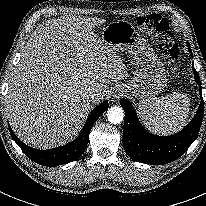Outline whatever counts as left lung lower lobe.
<instances>
[{
  "label": "left lung lower lobe",
  "mask_w": 206,
  "mask_h": 206,
  "mask_svg": "<svg viewBox=\"0 0 206 206\" xmlns=\"http://www.w3.org/2000/svg\"><path fill=\"white\" fill-rule=\"evenodd\" d=\"M188 49L191 53L190 46ZM195 81L202 91L199 75L192 66ZM125 111L123 146L134 161L163 165L178 159L197 138L204 112V103L201 98L199 109L192 121L180 132L172 136H157L147 132L140 124L131 102L122 99L120 102Z\"/></svg>",
  "instance_id": "0a47b994"
}]
</instances>
